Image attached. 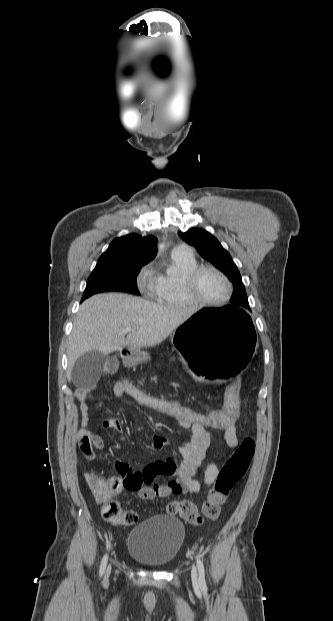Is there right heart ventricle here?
Here are the masks:
<instances>
[{
    "label": "right heart ventricle",
    "mask_w": 333,
    "mask_h": 621,
    "mask_svg": "<svg viewBox=\"0 0 333 621\" xmlns=\"http://www.w3.org/2000/svg\"><path fill=\"white\" fill-rule=\"evenodd\" d=\"M169 262L172 270L159 273L155 277L152 298L158 303L170 306L191 305L184 292L183 282L185 276L197 267L195 258L173 252Z\"/></svg>",
    "instance_id": "right-heart-ventricle-1"
}]
</instances>
